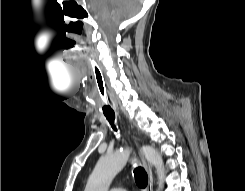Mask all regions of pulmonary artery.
Masks as SVG:
<instances>
[{
    "label": "pulmonary artery",
    "instance_id": "pulmonary-artery-1",
    "mask_svg": "<svg viewBox=\"0 0 245 191\" xmlns=\"http://www.w3.org/2000/svg\"><path fill=\"white\" fill-rule=\"evenodd\" d=\"M110 191H127L126 189H124V188H119V187H113V188H111V190Z\"/></svg>",
    "mask_w": 245,
    "mask_h": 191
}]
</instances>
